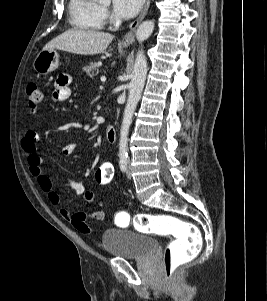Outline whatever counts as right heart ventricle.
<instances>
[{
  "mask_svg": "<svg viewBox=\"0 0 267 301\" xmlns=\"http://www.w3.org/2000/svg\"><path fill=\"white\" fill-rule=\"evenodd\" d=\"M71 24L81 30H98L103 27L101 6L98 0H70Z\"/></svg>",
  "mask_w": 267,
  "mask_h": 301,
  "instance_id": "e07e8e85",
  "label": "right heart ventricle"
}]
</instances>
